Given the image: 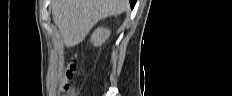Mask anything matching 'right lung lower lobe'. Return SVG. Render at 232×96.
Masks as SVG:
<instances>
[{"label":"right lung lower lobe","instance_id":"1","mask_svg":"<svg viewBox=\"0 0 232 96\" xmlns=\"http://www.w3.org/2000/svg\"><path fill=\"white\" fill-rule=\"evenodd\" d=\"M129 2H130L131 8L133 9L135 6L136 0H129Z\"/></svg>","mask_w":232,"mask_h":96}]
</instances>
